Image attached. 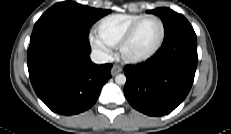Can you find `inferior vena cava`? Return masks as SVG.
<instances>
[{
    "label": "inferior vena cava",
    "instance_id": "inferior-vena-cava-1",
    "mask_svg": "<svg viewBox=\"0 0 231 134\" xmlns=\"http://www.w3.org/2000/svg\"><path fill=\"white\" fill-rule=\"evenodd\" d=\"M90 58L92 62L95 64H104V63H108L109 61V56L107 54L97 50L91 53Z\"/></svg>",
    "mask_w": 231,
    "mask_h": 134
}]
</instances>
